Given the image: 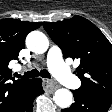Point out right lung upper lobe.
<instances>
[{"instance_id":"obj_1","label":"right lung upper lobe","mask_w":112,"mask_h":112,"mask_svg":"<svg viewBox=\"0 0 112 112\" xmlns=\"http://www.w3.org/2000/svg\"><path fill=\"white\" fill-rule=\"evenodd\" d=\"M41 24L16 19L0 20V112H10L31 81L13 78L8 65L11 60L18 59L27 34Z\"/></svg>"}]
</instances>
